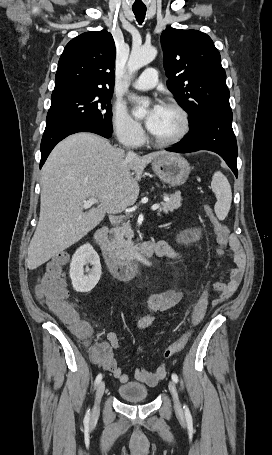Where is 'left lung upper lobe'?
Returning a JSON list of instances; mask_svg holds the SVG:
<instances>
[{"instance_id":"obj_1","label":"left lung upper lobe","mask_w":272,"mask_h":455,"mask_svg":"<svg viewBox=\"0 0 272 455\" xmlns=\"http://www.w3.org/2000/svg\"><path fill=\"white\" fill-rule=\"evenodd\" d=\"M161 45L167 87L189 114V125L211 114L231 112L221 56L207 34L167 28Z\"/></svg>"}]
</instances>
